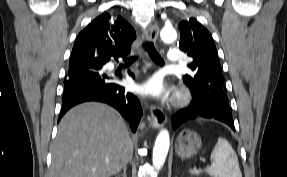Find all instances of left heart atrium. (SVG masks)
<instances>
[{"label": "left heart atrium", "mask_w": 287, "mask_h": 177, "mask_svg": "<svg viewBox=\"0 0 287 177\" xmlns=\"http://www.w3.org/2000/svg\"><path fill=\"white\" fill-rule=\"evenodd\" d=\"M139 90L144 95L153 97H162L167 93V87L158 74L153 75L143 82L140 85Z\"/></svg>", "instance_id": "left-heart-atrium-1"}]
</instances>
